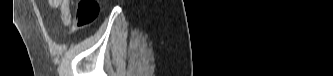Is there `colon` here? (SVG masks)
Listing matches in <instances>:
<instances>
[{
	"instance_id": "obj_1",
	"label": "colon",
	"mask_w": 333,
	"mask_h": 76,
	"mask_svg": "<svg viewBox=\"0 0 333 76\" xmlns=\"http://www.w3.org/2000/svg\"><path fill=\"white\" fill-rule=\"evenodd\" d=\"M99 10L96 0H80L77 6L76 28L82 29L94 23L99 15Z\"/></svg>"
}]
</instances>
